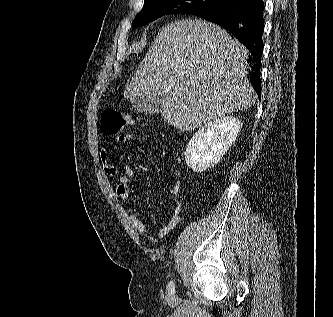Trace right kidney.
Wrapping results in <instances>:
<instances>
[{"mask_svg": "<svg viewBox=\"0 0 333 317\" xmlns=\"http://www.w3.org/2000/svg\"><path fill=\"white\" fill-rule=\"evenodd\" d=\"M240 129L241 121L232 116L218 117L201 127L184 153L187 166L194 172L213 167L233 144Z\"/></svg>", "mask_w": 333, "mask_h": 317, "instance_id": "1", "label": "right kidney"}]
</instances>
